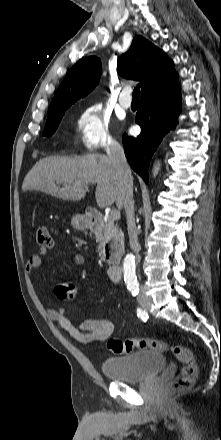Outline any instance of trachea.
I'll use <instances>...</instances> for the list:
<instances>
[{"instance_id":"1","label":"trachea","mask_w":221,"mask_h":440,"mask_svg":"<svg viewBox=\"0 0 221 440\" xmlns=\"http://www.w3.org/2000/svg\"><path fill=\"white\" fill-rule=\"evenodd\" d=\"M133 99H139V95H140V89L139 88H135L133 90Z\"/></svg>"}]
</instances>
